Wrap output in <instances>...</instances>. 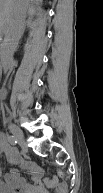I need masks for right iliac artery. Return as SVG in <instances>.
I'll return each instance as SVG.
<instances>
[{
	"mask_svg": "<svg viewBox=\"0 0 103 193\" xmlns=\"http://www.w3.org/2000/svg\"><path fill=\"white\" fill-rule=\"evenodd\" d=\"M7 139H8V141H9V143H10L11 145H16V144H17V139L15 138V136H13V135H8V136H7Z\"/></svg>",
	"mask_w": 103,
	"mask_h": 193,
	"instance_id": "82829eb1",
	"label": "right iliac artery"
}]
</instances>
